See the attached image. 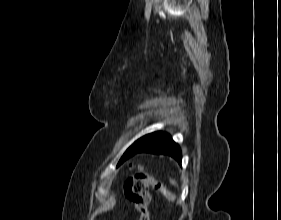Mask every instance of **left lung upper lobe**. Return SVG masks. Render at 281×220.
<instances>
[{"label": "left lung upper lobe", "instance_id": "left-lung-upper-lobe-1", "mask_svg": "<svg viewBox=\"0 0 281 220\" xmlns=\"http://www.w3.org/2000/svg\"><path fill=\"white\" fill-rule=\"evenodd\" d=\"M155 133H151V134H148V135H145L143 137H141L140 139H138L136 142H134L128 149L127 151L124 153V155L122 156V158L120 159L119 163H118V166L120 164H122L125 160H127L128 158H130L134 153L135 151L141 147L142 145H144L146 142H148L153 136H154Z\"/></svg>", "mask_w": 281, "mask_h": 220}]
</instances>
